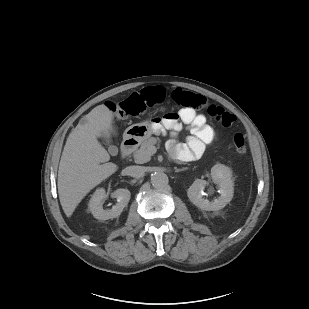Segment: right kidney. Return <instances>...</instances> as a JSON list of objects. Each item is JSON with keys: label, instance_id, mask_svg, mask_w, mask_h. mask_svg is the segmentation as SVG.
I'll return each instance as SVG.
<instances>
[{"label": "right kidney", "instance_id": "obj_1", "mask_svg": "<svg viewBox=\"0 0 309 309\" xmlns=\"http://www.w3.org/2000/svg\"><path fill=\"white\" fill-rule=\"evenodd\" d=\"M111 196L117 199V204L114 205L110 210L103 209V200L107 197L106 192L103 188L97 189L89 201V209L92 215L98 220H108L118 217L124 207L127 206L131 193L128 189H117Z\"/></svg>", "mask_w": 309, "mask_h": 309}]
</instances>
